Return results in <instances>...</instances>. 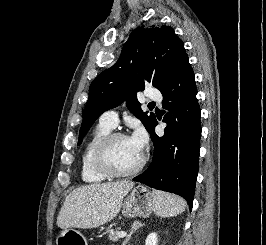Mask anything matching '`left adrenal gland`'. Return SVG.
Masks as SVG:
<instances>
[{
	"mask_svg": "<svg viewBox=\"0 0 266 245\" xmlns=\"http://www.w3.org/2000/svg\"><path fill=\"white\" fill-rule=\"evenodd\" d=\"M132 229H130V233L128 237H126V241H123V245H127L128 241H130L133 233H136L140 227H143L142 223H139V221H134L133 225H131Z\"/></svg>",
	"mask_w": 266,
	"mask_h": 245,
	"instance_id": "1",
	"label": "left adrenal gland"
}]
</instances>
